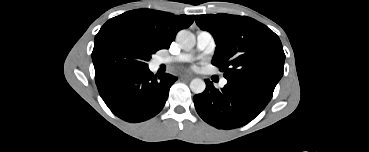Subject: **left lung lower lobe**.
<instances>
[{
	"mask_svg": "<svg viewBox=\"0 0 369 152\" xmlns=\"http://www.w3.org/2000/svg\"><path fill=\"white\" fill-rule=\"evenodd\" d=\"M206 89L193 101L199 116L218 129L241 127L253 120L269 103L273 86L228 80L221 90L205 80Z\"/></svg>",
	"mask_w": 369,
	"mask_h": 152,
	"instance_id": "left-lung-lower-lobe-1",
	"label": "left lung lower lobe"
}]
</instances>
